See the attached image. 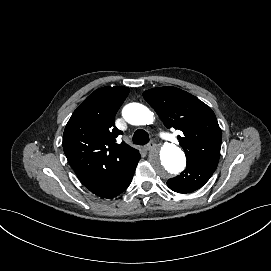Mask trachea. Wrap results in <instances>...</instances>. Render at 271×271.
I'll return each instance as SVG.
<instances>
[{"label": "trachea", "instance_id": "trachea-1", "mask_svg": "<svg viewBox=\"0 0 271 271\" xmlns=\"http://www.w3.org/2000/svg\"><path fill=\"white\" fill-rule=\"evenodd\" d=\"M132 141L137 145H145L149 142V134L143 129H138L135 131Z\"/></svg>", "mask_w": 271, "mask_h": 271}]
</instances>
